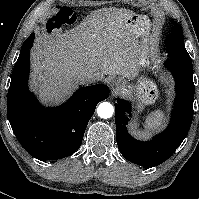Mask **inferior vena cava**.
I'll use <instances>...</instances> for the list:
<instances>
[{
    "mask_svg": "<svg viewBox=\"0 0 199 199\" xmlns=\"http://www.w3.org/2000/svg\"><path fill=\"white\" fill-rule=\"evenodd\" d=\"M98 80V77H96L93 74L90 73H84L80 76L81 83H92Z\"/></svg>",
    "mask_w": 199,
    "mask_h": 199,
    "instance_id": "602c4592",
    "label": "inferior vena cava"
}]
</instances>
